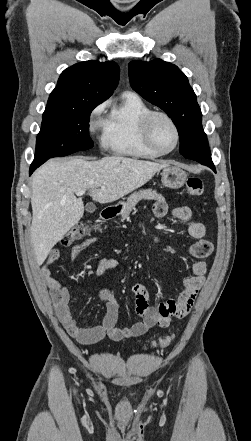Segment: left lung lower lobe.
Masks as SVG:
<instances>
[{"label":"left lung lower lobe","mask_w":251,"mask_h":441,"mask_svg":"<svg viewBox=\"0 0 251 441\" xmlns=\"http://www.w3.org/2000/svg\"><path fill=\"white\" fill-rule=\"evenodd\" d=\"M191 142L193 145L192 150L194 152L198 151L200 153L198 162L209 166L215 171V167L211 159V154H210L206 134L203 131L200 132L195 136L194 140H192Z\"/></svg>","instance_id":"left-lung-lower-lobe-1"}]
</instances>
